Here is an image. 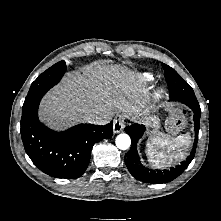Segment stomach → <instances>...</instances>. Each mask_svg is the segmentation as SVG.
<instances>
[{
	"label": "stomach",
	"mask_w": 221,
	"mask_h": 221,
	"mask_svg": "<svg viewBox=\"0 0 221 221\" xmlns=\"http://www.w3.org/2000/svg\"><path fill=\"white\" fill-rule=\"evenodd\" d=\"M148 125L152 128H154L155 130H157L159 128V120L156 117H151L148 121Z\"/></svg>",
	"instance_id": "1"
}]
</instances>
